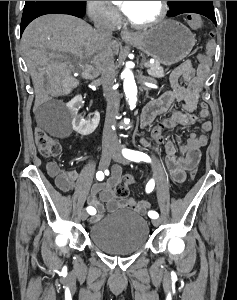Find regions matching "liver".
I'll return each instance as SVG.
<instances>
[{"mask_svg":"<svg viewBox=\"0 0 237 300\" xmlns=\"http://www.w3.org/2000/svg\"><path fill=\"white\" fill-rule=\"evenodd\" d=\"M21 47L34 85L36 101L58 93L61 77L71 75L69 65L93 75H99L101 71V49L95 29L71 15L38 17L26 27ZM119 47L117 41H111L115 55H118ZM84 59H90L94 67L85 65ZM75 85H78V81H75Z\"/></svg>","mask_w":237,"mask_h":300,"instance_id":"6515ba94","label":"liver"}]
</instances>
